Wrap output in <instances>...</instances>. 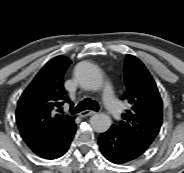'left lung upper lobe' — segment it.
<instances>
[{
	"instance_id": "1",
	"label": "left lung upper lobe",
	"mask_w": 184,
	"mask_h": 173,
	"mask_svg": "<svg viewBox=\"0 0 184 173\" xmlns=\"http://www.w3.org/2000/svg\"><path fill=\"white\" fill-rule=\"evenodd\" d=\"M126 91L121 97L130 104L116 127L144 152L158 135L162 123L163 105L157 86L135 56L126 55L124 64Z\"/></svg>"
}]
</instances>
